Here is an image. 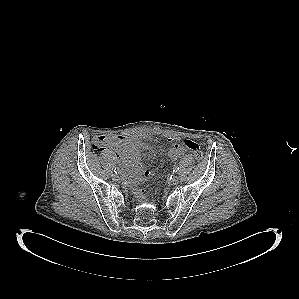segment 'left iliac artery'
Listing matches in <instances>:
<instances>
[{"mask_svg":"<svg viewBox=\"0 0 299 299\" xmlns=\"http://www.w3.org/2000/svg\"><path fill=\"white\" fill-rule=\"evenodd\" d=\"M179 171V166L175 165L173 172H178Z\"/></svg>","mask_w":299,"mask_h":299,"instance_id":"obj_1","label":"left iliac artery"}]
</instances>
